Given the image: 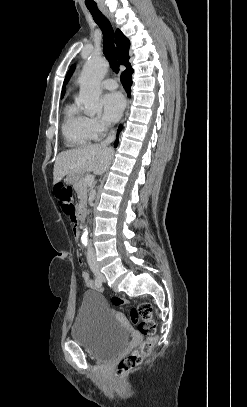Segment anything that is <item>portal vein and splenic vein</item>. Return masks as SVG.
<instances>
[{
    "label": "portal vein and splenic vein",
    "instance_id": "portal-vein-and-splenic-vein-1",
    "mask_svg": "<svg viewBox=\"0 0 247 407\" xmlns=\"http://www.w3.org/2000/svg\"><path fill=\"white\" fill-rule=\"evenodd\" d=\"M94 181V176L93 175H87L85 178V182L90 184Z\"/></svg>",
    "mask_w": 247,
    "mask_h": 407
}]
</instances>
